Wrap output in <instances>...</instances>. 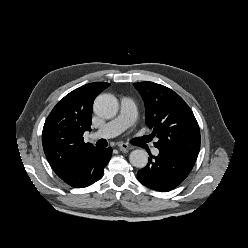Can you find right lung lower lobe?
<instances>
[{
  "label": "right lung lower lobe",
  "instance_id": "98d812e1",
  "mask_svg": "<svg viewBox=\"0 0 248 248\" xmlns=\"http://www.w3.org/2000/svg\"><path fill=\"white\" fill-rule=\"evenodd\" d=\"M112 149L93 148L79 162L60 178L74 188H84L100 180L103 169L108 164Z\"/></svg>",
  "mask_w": 248,
  "mask_h": 248
}]
</instances>
